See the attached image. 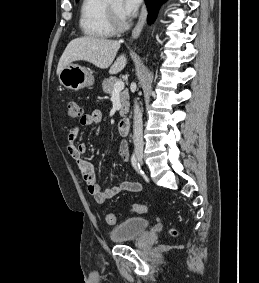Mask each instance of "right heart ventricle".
I'll list each match as a JSON object with an SVG mask.
<instances>
[{
    "label": "right heart ventricle",
    "mask_w": 259,
    "mask_h": 283,
    "mask_svg": "<svg viewBox=\"0 0 259 283\" xmlns=\"http://www.w3.org/2000/svg\"><path fill=\"white\" fill-rule=\"evenodd\" d=\"M80 27L94 39L111 37L115 33L106 0H83L80 10Z\"/></svg>",
    "instance_id": "e07e8e85"
}]
</instances>
